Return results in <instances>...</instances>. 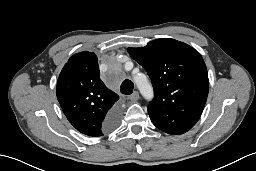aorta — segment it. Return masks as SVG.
I'll list each match as a JSON object with an SVG mask.
<instances>
[{
  "instance_id": "1",
  "label": "aorta",
  "mask_w": 256,
  "mask_h": 171,
  "mask_svg": "<svg viewBox=\"0 0 256 171\" xmlns=\"http://www.w3.org/2000/svg\"><path fill=\"white\" fill-rule=\"evenodd\" d=\"M135 82L137 84L138 89L140 90L141 94L149 99L153 96V90L151 85L148 83V81L146 79H144L143 81L139 80L138 77L135 78Z\"/></svg>"
}]
</instances>
